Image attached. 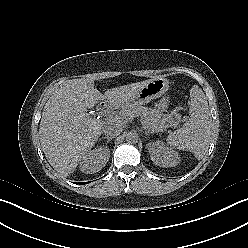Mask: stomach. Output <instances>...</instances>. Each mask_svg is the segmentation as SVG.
<instances>
[{
  "label": "stomach",
  "mask_w": 248,
  "mask_h": 248,
  "mask_svg": "<svg viewBox=\"0 0 248 248\" xmlns=\"http://www.w3.org/2000/svg\"><path fill=\"white\" fill-rule=\"evenodd\" d=\"M168 89L169 81L166 78L161 76L154 77L148 80V82H146L138 91V93L134 95L130 100H128L127 102L115 103L114 105L116 107L123 108L131 104L147 103L153 99H158L162 96H165L157 104V107L159 109L165 110L168 106V97L166 96Z\"/></svg>",
  "instance_id": "stomach-1"
}]
</instances>
